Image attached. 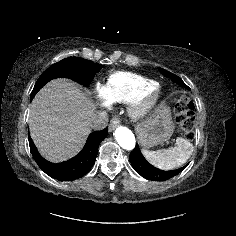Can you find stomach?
<instances>
[{"mask_svg": "<svg viewBox=\"0 0 236 236\" xmlns=\"http://www.w3.org/2000/svg\"><path fill=\"white\" fill-rule=\"evenodd\" d=\"M174 131L169 107L160 104L154 114L137 126L139 143L143 148H150L168 140Z\"/></svg>", "mask_w": 236, "mask_h": 236, "instance_id": "1", "label": "stomach"}]
</instances>
